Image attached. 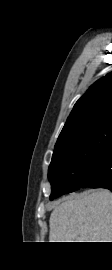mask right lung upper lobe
<instances>
[{"instance_id": "1", "label": "right lung upper lobe", "mask_w": 112, "mask_h": 270, "mask_svg": "<svg viewBox=\"0 0 112 270\" xmlns=\"http://www.w3.org/2000/svg\"><path fill=\"white\" fill-rule=\"evenodd\" d=\"M110 121L112 122V72L96 81L76 102L56 145Z\"/></svg>"}]
</instances>
